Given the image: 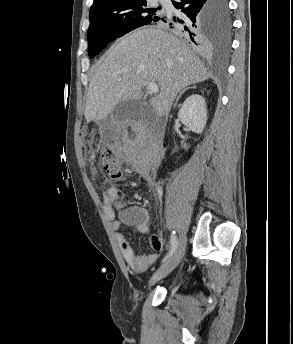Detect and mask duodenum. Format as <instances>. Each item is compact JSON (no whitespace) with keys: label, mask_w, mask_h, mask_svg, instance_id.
<instances>
[{"label":"duodenum","mask_w":293,"mask_h":344,"mask_svg":"<svg viewBox=\"0 0 293 344\" xmlns=\"http://www.w3.org/2000/svg\"><path fill=\"white\" fill-rule=\"evenodd\" d=\"M151 151L153 152V160L155 162H157L159 155H160V148L159 146H155L153 149H151Z\"/></svg>","instance_id":"obj_1"}]
</instances>
